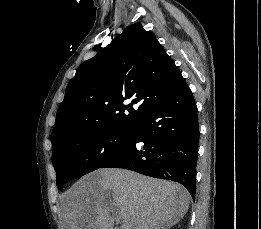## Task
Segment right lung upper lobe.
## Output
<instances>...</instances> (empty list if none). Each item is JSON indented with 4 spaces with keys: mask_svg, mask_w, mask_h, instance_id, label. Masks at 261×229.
<instances>
[{
    "mask_svg": "<svg viewBox=\"0 0 261 229\" xmlns=\"http://www.w3.org/2000/svg\"><path fill=\"white\" fill-rule=\"evenodd\" d=\"M182 79L152 32L139 23L125 28L69 81L52 131V150L81 130L134 132Z\"/></svg>",
    "mask_w": 261,
    "mask_h": 229,
    "instance_id": "right-lung-upper-lobe-1",
    "label": "right lung upper lobe"
}]
</instances>
